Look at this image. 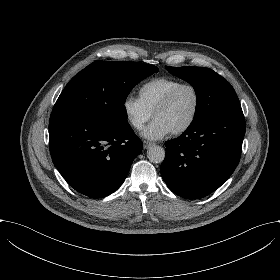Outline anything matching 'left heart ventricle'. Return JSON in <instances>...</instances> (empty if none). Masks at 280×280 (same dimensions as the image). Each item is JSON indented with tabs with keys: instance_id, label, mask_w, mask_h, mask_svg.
<instances>
[{
	"instance_id": "b2bd125f",
	"label": "left heart ventricle",
	"mask_w": 280,
	"mask_h": 280,
	"mask_svg": "<svg viewBox=\"0 0 280 280\" xmlns=\"http://www.w3.org/2000/svg\"><path fill=\"white\" fill-rule=\"evenodd\" d=\"M196 106V94L191 87L179 91L171 105L155 117L163 119L173 130L187 123L192 117Z\"/></svg>"
}]
</instances>
